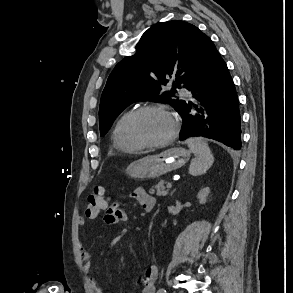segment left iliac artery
Wrapping results in <instances>:
<instances>
[{
	"label": "left iliac artery",
	"instance_id": "left-iliac-artery-1",
	"mask_svg": "<svg viewBox=\"0 0 293 293\" xmlns=\"http://www.w3.org/2000/svg\"><path fill=\"white\" fill-rule=\"evenodd\" d=\"M158 293H166V290H164V289H159V290H158Z\"/></svg>",
	"mask_w": 293,
	"mask_h": 293
}]
</instances>
